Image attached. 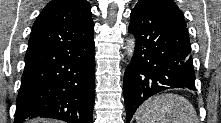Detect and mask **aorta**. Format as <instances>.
Instances as JSON below:
<instances>
[{"label": "aorta", "instance_id": "aorta-1", "mask_svg": "<svg viewBox=\"0 0 221 123\" xmlns=\"http://www.w3.org/2000/svg\"><path fill=\"white\" fill-rule=\"evenodd\" d=\"M133 46H134V42L130 41L129 46H128V53H129V55H131L132 52H133Z\"/></svg>", "mask_w": 221, "mask_h": 123}]
</instances>
